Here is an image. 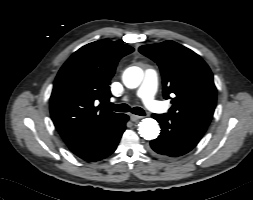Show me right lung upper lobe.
Here are the masks:
<instances>
[{"label":"right lung upper lobe","instance_id":"obj_1","mask_svg":"<svg viewBox=\"0 0 253 200\" xmlns=\"http://www.w3.org/2000/svg\"><path fill=\"white\" fill-rule=\"evenodd\" d=\"M133 50L99 40L81 47L62 66L50 97V113L68 146L100 133L121 116L95 103L109 101L117 62Z\"/></svg>","mask_w":253,"mask_h":200}]
</instances>
